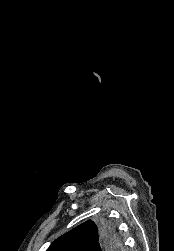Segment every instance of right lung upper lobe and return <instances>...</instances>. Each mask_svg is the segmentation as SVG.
<instances>
[{
    "label": "right lung upper lobe",
    "instance_id": "1",
    "mask_svg": "<svg viewBox=\"0 0 174 251\" xmlns=\"http://www.w3.org/2000/svg\"><path fill=\"white\" fill-rule=\"evenodd\" d=\"M100 241V225L88 220L55 240L47 251H93ZM119 246L113 244L112 249Z\"/></svg>",
    "mask_w": 174,
    "mask_h": 251
}]
</instances>
